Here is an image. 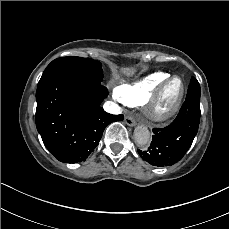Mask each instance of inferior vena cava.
<instances>
[{
    "mask_svg": "<svg viewBox=\"0 0 229 229\" xmlns=\"http://www.w3.org/2000/svg\"><path fill=\"white\" fill-rule=\"evenodd\" d=\"M103 108L106 112L112 114H119L121 112V108L112 101L105 102Z\"/></svg>",
    "mask_w": 229,
    "mask_h": 229,
    "instance_id": "obj_1",
    "label": "inferior vena cava"
}]
</instances>
